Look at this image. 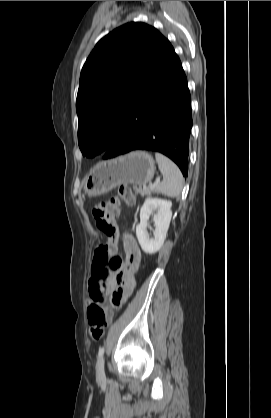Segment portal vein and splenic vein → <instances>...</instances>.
I'll list each match as a JSON object with an SVG mask.
<instances>
[{"instance_id":"1","label":"portal vein and splenic vein","mask_w":271,"mask_h":418,"mask_svg":"<svg viewBox=\"0 0 271 418\" xmlns=\"http://www.w3.org/2000/svg\"><path fill=\"white\" fill-rule=\"evenodd\" d=\"M160 183V179L157 178L153 184L150 185L151 188L156 187Z\"/></svg>"}]
</instances>
